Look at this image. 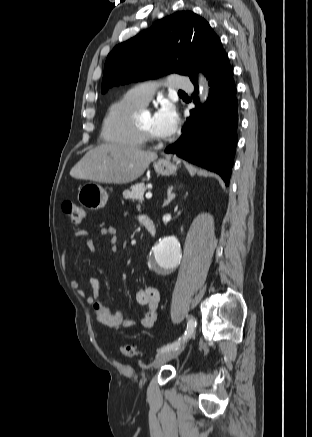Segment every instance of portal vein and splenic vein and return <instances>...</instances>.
<instances>
[{
    "instance_id": "portal-vein-and-splenic-vein-1",
    "label": "portal vein and splenic vein",
    "mask_w": 312,
    "mask_h": 437,
    "mask_svg": "<svg viewBox=\"0 0 312 437\" xmlns=\"http://www.w3.org/2000/svg\"><path fill=\"white\" fill-rule=\"evenodd\" d=\"M145 196H146L147 199H150L152 197V193L148 192V193H146Z\"/></svg>"
}]
</instances>
